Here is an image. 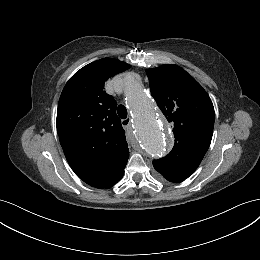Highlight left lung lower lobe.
Returning a JSON list of instances; mask_svg holds the SVG:
<instances>
[{
  "instance_id": "0a47b994",
  "label": "left lung lower lobe",
  "mask_w": 260,
  "mask_h": 260,
  "mask_svg": "<svg viewBox=\"0 0 260 260\" xmlns=\"http://www.w3.org/2000/svg\"><path fill=\"white\" fill-rule=\"evenodd\" d=\"M167 181L173 182V183H180L184 179H179V178H171V177H164Z\"/></svg>"
}]
</instances>
